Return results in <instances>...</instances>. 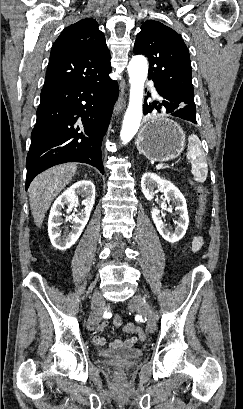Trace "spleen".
Segmentation results:
<instances>
[{
	"mask_svg": "<svg viewBox=\"0 0 243 409\" xmlns=\"http://www.w3.org/2000/svg\"><path fill=\"white\" fill-rule=\"evenodd\" d=\"M187 157L191 161V172L194 176V180L203 183L207 178L208 165L202 155L201 142L194 134L188 138Z\"/></svg>",
	"mask_w": 243,
	"mask_h": 409,
	"instance_id": "3e777b00",
	"label": "spleen"
}]
</instances>
